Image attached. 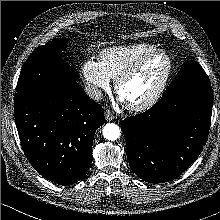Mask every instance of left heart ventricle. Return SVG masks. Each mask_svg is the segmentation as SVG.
I'll list each match as a JSON object with an SVG mask.
<instances>
[{
  "instance_id": "obj_1",
  "label": "left heart ventricle",
  "mask_w": 220,
  "mask_h": 220,
  "mask_svg": "<svg viewBox=\"0 0 220 220\" xmlns=\"http://www.w3.org/2000/svg\"><path fill=\"white\" fill-rule=\"evenodd\" d=\"M168 65V60L164 55L150 58L134 77L123 84L120 96L128 104L145 100L161 83Z\"/></svg>"
}]
</instances>
